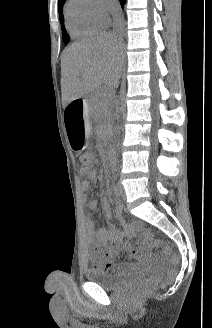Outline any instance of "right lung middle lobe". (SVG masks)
<instances>
[{
    "instance_id": "1",
    "label": "right lung middle lobe",
    "mask_w": 212,
    "mask_h": 328,
    "mask_svg": "<svg viewBox=\"0 0 212 328\" xmlns=\"http://www.w3.org/2000/svg\"><path fill=\"white\" fill-rule=\"evenodd\" d=\"M65 2V0H60L59 1V17H60V23L62 25V36H63V42L64 43H68L69 42V35L66 33L65 27H64V21H63V3Z\"/></svg>"
}]
</instances>
